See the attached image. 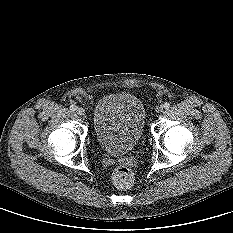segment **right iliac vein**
Listing matches in <instances>:
<instances>
[{"label": "right iliac vein", "mask_w": 233, "mask_h": 233, "mask_svg": "<svg viewBox=\"0 0 233 233\" xmlns=\"http://www.w3.org/2000/svg\"><path fill=\"white\" fill-rule=\"evenodd\" d=\"M78 115L83 116L85 114V110L82 107H78L76 109Z\"/></svg>", "instance_id": "obj_1"}]
</instances>
